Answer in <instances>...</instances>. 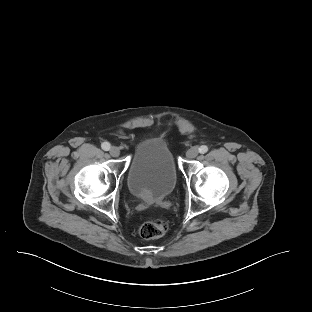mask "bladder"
Instances as JSON below:
<instances>
[{
	"instance_id": "1",
	"label": "bladder",
	"mask_w": 312,
	"mask_h": 312,
	"mask_svg": "<svg viewBox=\"0 0 312 312\" xmlns=\"http://www.w3.org/2000/svg\"><path fill=\"white\" fill-rule=\"evenodd\" d=\"M178 176L167 141L161 137H150L133 154L127 171V186L138 199L156 202L172 193Z\"/></svg>"
}]
</instances>
